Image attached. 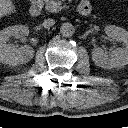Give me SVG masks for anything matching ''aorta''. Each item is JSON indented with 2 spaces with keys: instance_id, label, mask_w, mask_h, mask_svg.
<instances>
[{
  "instance_id": "aorta-1",
  "label": "aorta",
  "mask_w": 128,
  "mask_h": 128,
  "mask_svg": "<svg viewBox=\"0 0 128 128\" xmlns=\"http://www.w3.org/2000/svg\"><path fill=\"white\" fill-rule=\"evenodd\" d=\"M60 33L64 37H70L74 33V26L69 22L63 23L60 27Z\"/></svg>"
}]
</instances>
